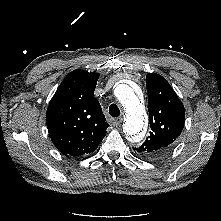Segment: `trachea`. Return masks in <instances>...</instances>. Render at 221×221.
Instances as JSON below:
<instances>
[{
	"label": "trachea",
	"instance_id": "3493384b",
	"mask_svg": "<svg viewBox=\"0 0 221 221\" xmlns=\"http://www.w3.org/2000/svg\"><path fill=\"white\" fill-rule=\"evenodd\" d=\"M109 114L112 117H118L120 115V110L116 104H111L109 106Z\"/></svg>",
	"mask_w": 221,
	"mask_h": 221
}]
</instances>
